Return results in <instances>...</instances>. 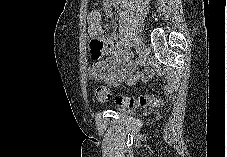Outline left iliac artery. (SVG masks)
Masks as SVG:
<instances>
[{
  "instance_id": "44dca946",
  "label": "left iliac artery",
  "mask_w": 227,
  "mask_h": 157,
  "mask_svg": "<svg viewBox=\"0 0 227 157\" xmlns=\"http://www.w3.org/2000/svg\"><path fill=\"white\" fill-rule=\"evenodd\" d=\"M135 41H136V50L139 51V44H141V39H140V35L139 34H136L135 35Z\"/></svg>"
}]
</instances>
